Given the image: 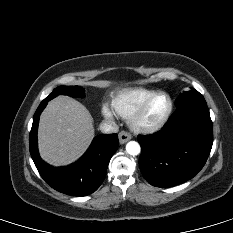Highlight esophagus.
Returning a JSON list of instances; mask_svg holds the SVG:
<instances>
[{
  "mask_svg": "<svg viewBox=\"0 0 233 233\" xmlns=\"http://www.w3.org/2000/svg\"><path fill=\"white\" fill-rule=\"evenodd\" d=\"M118 136H119V141L121 144L126 143L132 138L131 134H129L126 131H121Z\"/></svg>",
  "mask_w": 233,
  "mask_h": 233,
  "instance_id": "1",
  "label": "esophagus"
}]
</instances>
